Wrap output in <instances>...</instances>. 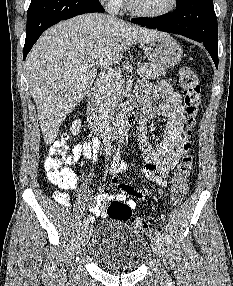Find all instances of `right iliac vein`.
Segmentation results:
<instances>
[{
	"label": "right iliac vein",
	"instance_id": "1",
	"mask_svg": "<svg viewBox=\"0 0 233 286\" xmlns=\"http://www.w3.org/2000/svg\"><path fill=\"white\" fill-rule=\"evenodd\" d=\"M90 236H91V228H90V226H87L82 232V243H83V245L88 243Z\"/></svg>",
	"mask_w": 233,
	"mask_h": 286
}]
</instances>
